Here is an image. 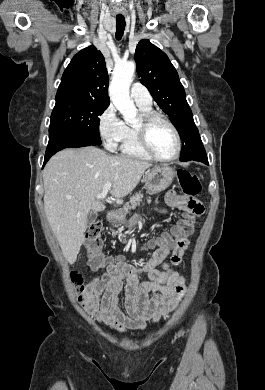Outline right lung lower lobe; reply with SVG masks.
I'll list each match as a JSON object with an SVG mask.
<instances>
[{
  "label": "right lung lower lobe",
  "mask_w": 265,
  "mask_h": 390,
  "mask_svg": "<svg viewBox=\"0 0 265 390\" xmlns=\"http://www.w3.org/2000/svg\"><path fill=\"white\" fill-rule=\"evenodd\" d=\"M91 145H98L94 142L80 139L78 137L70 136V135H57L54 137L49 138V143L46 149L45 158H44V164L45 166L46 162L58 151L69 148V147H84V146H91Z\"/></svg>",
  "instance_id": "98d812e1"
}]
</instances>
